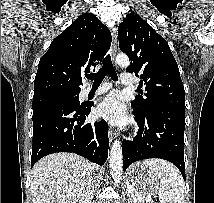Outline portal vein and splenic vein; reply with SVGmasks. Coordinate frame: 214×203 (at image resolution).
<instances>
[{"instance_id": "18ae733b", "label": "portal vein and splenic vein", "mask_w": 214, "mask_h": 203, "mask_svg": "<svg viewBox=\"0 0 214 203\" xmlns=\"http://www.w3.org/2000/svg\"><path fill=\"white\" fill-rule=\"evenodd\" d=\"M127 190H128L129 194L132 193V191H133L132 187H128ZM146 200H148V199L146 198Z\"/></svg>"}]
</instances>
